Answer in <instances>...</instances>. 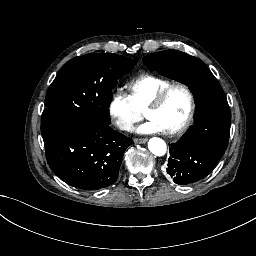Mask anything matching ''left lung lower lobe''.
I'll list each match as a JSON object with an SVG mask.
<instances>
[{
  "label": "left lung lower lobe",
  "instance_id": "left-lung-lower-lobe-1",
  "mask_svg": "<svg viewBox=\"0 0 256 256\" xmlns=\"http://www.w3.org/2000/svg\"><path fill=\"white\" fill-rule=\"evenodd\" d=\"M168 174L173 177V180L175 183L180 185L197 182L206 177V176H193V175H179V174H174L170 172H168Z\"/></svg>",
  "mask_w": 256,
  "mask_h": 256
}]
</instances>
